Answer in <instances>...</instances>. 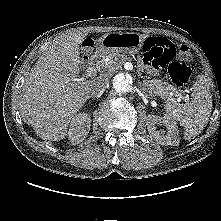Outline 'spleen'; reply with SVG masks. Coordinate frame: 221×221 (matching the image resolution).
<instances>
[{
	"instance_id": "obj_1",
	"label": "spleen",
	"mask_w": 221,
	"mask_h": 221,
	"mask_svg": "<svg viewBox=\"0 0 221 221\" xmlns=\"http://www.w3.org/2000/svg\"><path fill=\"white\" fill-rule=\"evenodd\" d=\"M167 117L184 128V137L191 140L199 135L207 125L212 109V96L204 83L199 80L194 84L191 100L185 104L173 98L166 100Z\"/></svg>"
}]
</instances>
